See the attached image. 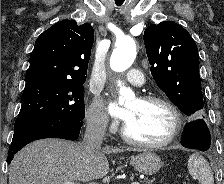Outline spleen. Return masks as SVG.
<instances>
[{
    "label": "spleen",
    "mask_w": 224,
    "mask_h": 184,
    "mask_svg": "<svg viewBox=\"0 0 224 184\" xmlns=\"http://www.w3.org/2000/svg\"><path fill=\"white\" fill-rule=\"evenodd\" d=\"M188 171L200 184H214L210 165L201 155L192 154L189 156Z\"/></svg>",
    "instance_id": "obj_1"
}]
</instances>
